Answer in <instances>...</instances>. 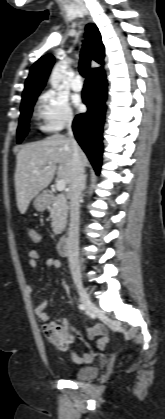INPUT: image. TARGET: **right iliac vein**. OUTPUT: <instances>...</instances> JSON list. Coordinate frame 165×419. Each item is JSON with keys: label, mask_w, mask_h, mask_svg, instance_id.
Wrapping results in <instances>:
<instances>
[{"label": "right iliac vein", "mask_w": 165, "mask_h": 419, "mask_svg": "<svg viewBox=\"0 0 165 419\" xmlns=\"http://www.w3.org/2000/svg\"><path fill=\"white\" fill-rule=\"evenodd\" d=\"M74 283H75L76 289H77V291L79 293V296H80V299H81V302H82L87 314H90L92 312L93 308H94L93 302L91 301V299H90V297H89L81 279L80 278H75Z\"/></svg>", "instance_id": "right-iliac-vein-1"}]
</instances>
